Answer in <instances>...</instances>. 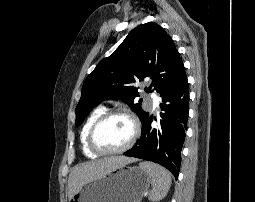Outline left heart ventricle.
Here are the masks:
<instances>
[{"mask_svg":"<svg viewBox=\"0 0 255 202\" xmlns=\"http://www.w3.org/2000/svg\"><path fill=\"white\" fill-rule=\"evenodd\" d=\"M132 124L123 116H113L104 121L95 134V142L106 151L123 147L131 138Z\"/></svg>","mask_w":255,"mask_h":202,"instance_id":"left-heart-ventricle-1","label":"left heart ventricle"}]
</instances>
